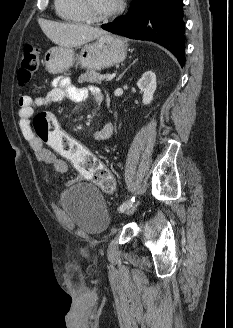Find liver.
Returning <instances> with one entry per match:
<instances>
[{
    "label": "liver",
    "mask_w": 233,
    "mask_h": 328,
    "mask_svg": "<svg viewBox=\"0 0 233 328\" xmlns=\"http://www.w3.org/2000/svg\"><path fill=\"white\" fill-rule=\"evenodd\" d=\"M44 34L61 47H78L105 34L103 30L82 24L58 23L40 20Z\"/></svg>",
    "instance_id": "1"
}]
</instances>
